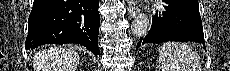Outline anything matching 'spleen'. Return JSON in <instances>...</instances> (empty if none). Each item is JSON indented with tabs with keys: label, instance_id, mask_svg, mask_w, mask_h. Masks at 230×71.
I'll return each mask as SVG.
<instances>
[{
	"label": "spleen",
	"instance_id": "3e777b00",
	"mask_svg": "<svg viewBox=\"0 0 230 71\" xmlns=\"http://www.w3.org/2000/svg\"><path fill=\"white\" fill-rule=\"evenodd\" d=\"M158 52L162 71H201L199 58L185 43L167 42Z\"/></svg>",
	"mask_w": 230,
	"mask_h": 71
}]
</instances>
